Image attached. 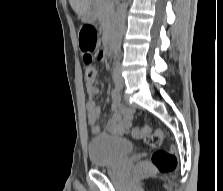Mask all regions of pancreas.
Segmentation results:
<instances>
[{"mask_svg": "<svg viewBox=\"0 0 223 191\" xmlns=\"http://www.w3.org/2000/svg\"><path fill=\"white\" fill-rule=\"evenodd\" d=\"M93 8L103 30L107 32L112 24L114 12L113 3L111 0H94Z\"/></svg>", "mask_w": 223, "mask_h": 191, "instance_id": "1", "label": "pancreas"}]
</instances>
